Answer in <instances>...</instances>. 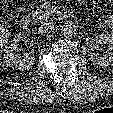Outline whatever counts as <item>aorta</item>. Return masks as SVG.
Instances as JSON below:
<instances>
[{
  "mask_svg": "<svg viewBox=\"0 0 113 113\" xmlns=\"http://www.w3.org/2000/svg\"><path fill=\"white\" fill-rule=\"evenodd\" d=\"M76 30H77V26L71 20L64 21L60 26L61 34L66 37L72 36L76 32Z\"/></svg>",
  "mask_w": 113,
  "mask_h": 113,
  "instance_id": "762f6f07",
  "label": "aorta"
}]
</instances>
